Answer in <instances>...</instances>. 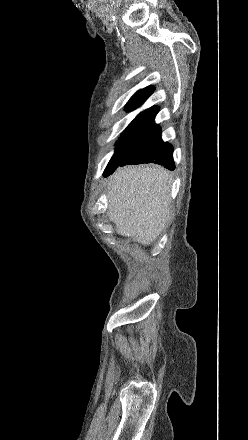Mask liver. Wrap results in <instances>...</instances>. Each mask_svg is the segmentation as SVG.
Here are the masks:
<instances>
[{"label":"liver","instance_id":"1","mask_svg":"<svg viewBox=\"0 0 248 440\" xmlns=\"http://www.w3.org/2000/svg\"><path fill=\"white\" fill-rule=\"evenodd\" d=\"M171 176L157 165L120 168L108 182V216L119 235L149 245L169 220Z\"/></svg>","mask_w":248,"mask_h":440}]
</instances>
